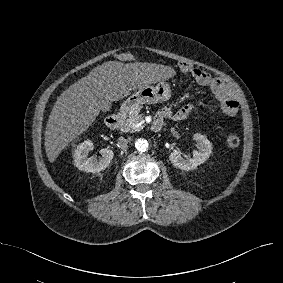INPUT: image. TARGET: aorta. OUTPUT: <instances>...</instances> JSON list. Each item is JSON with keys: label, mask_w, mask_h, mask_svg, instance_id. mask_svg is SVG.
I'll return each mask as SVG.
<instances>
[{"label": "aorta", "mask_w": 283, "mask_h": 283, "mask_svg": "<svg viewBox=\"0 0 283 283\" xmlns=\"http://www.w3.org/2000/svg\"><path fill=\"white\" fill-rule=\"evenodd\" d=\"M135 148L139 151V152H145L148 150L149 148V144L148 141L144 138H138L135 141Z\"/></svg>", "instance_id": "762f6f07"}]
</instances>
